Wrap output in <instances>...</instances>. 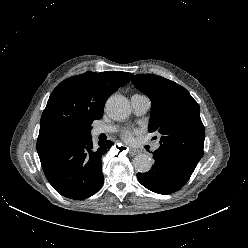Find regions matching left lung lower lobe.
Segmentation results:
<instances>
[{"label": "left lung lower lobe", "mask_w": 248, "mask_h": 248, "mask_svg": "<svg viewBox=\"0 0 248 248\" xmlns=\"http://www.w3.org/2000/svg\"><path fill=\"white\" fill-rule=\"evenodd\" d=\"M155 163L146 173H138L139 182L158 194H170L181 189L189 180L194 169L188 167L170 154L156 150Z\"/></svg>", "instance_id": "obj_1"}]
</instances>
